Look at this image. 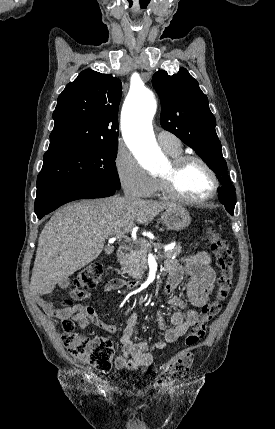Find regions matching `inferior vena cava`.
Segmentation results:
<instances>
[{
	"mask_svg": "<svg viewBox=\"0 0 275 429\" xmlns=\"http://www.w3.org/2000/svg\"><path fill=\"white\" fill-rule=\"evenodd\" d=\"M124 196H125L124 198H125L126 200H135V197H134V196H132L128 190H125V191H124Z\"/></svg>",
	"mask_w": 275,
	"mask_h": 429,
	"instance_id": "inferior-vena-cava-1",
	"label": "inferior vena cava"
}]
</instances>
